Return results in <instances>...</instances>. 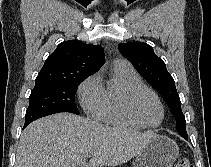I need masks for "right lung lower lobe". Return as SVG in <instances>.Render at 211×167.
<instances>
[{
    "label": "right lung lower lobe",
    "mask_w": 211,
    "mask_h": 167,
    "mask_svg": "<svg viewBox=\"0 0 211 167\" xmlns=\"http://www.w3.org/2000/svg\"><path fill=\"white\" fill-rule=\"evenodd\" d=\"M27 125H28V124H27V123H25V125H24L23 129H24Z\"/></svg>",
    "instance_id": "right-lung-lower-lobe-1"
}]
</instances>
